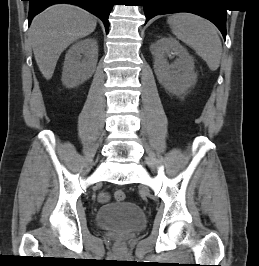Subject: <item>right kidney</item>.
Masks as SVG:
<instances>
[{
	"label": "right kidney",
	"instance_id": "obj_1",
	"mask_svg": "<svg viewBox=\"0 0 259 266\" xmlns=\"http://www.w3.org/2000/svg\"><path fill=\"white\" fill-rule=\"evenodd\" d=\"M98 60V43L87 38L73 44L67 51L62 72V82L68 88L76 87L89 79Z\"/></svg>",
	"mask_w": 259,
	"mask_h": 266
}]
</instances>
